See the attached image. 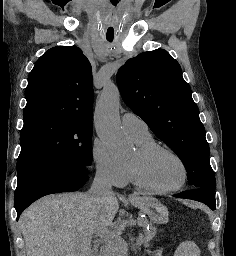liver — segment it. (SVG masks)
Here are the masks:
<instances>
[{
    "label": "liver",
    "instance_id": "6515ba94",
    "mask_svg": "<svg viewBox=\"0 0 236 256\" xmlns=\"http://www.w3.org/2000/svg\"><path fill=\"white\" fill-rule=\"evenodd\" d=\"M115 196L97 202L91 194H51L23 212L26 256H91V236L113 222Z\"/></svg>",
    "mask_w": 236,
    "mask_h": 256
}]
</instances>
